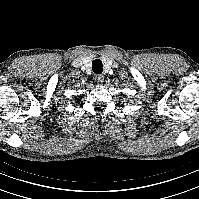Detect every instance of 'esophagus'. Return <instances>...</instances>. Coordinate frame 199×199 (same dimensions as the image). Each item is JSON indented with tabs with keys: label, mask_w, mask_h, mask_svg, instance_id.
<instances>
[{
	"label": "esophagus",
	"mask_w": 199,
	"mask_h": 199,
	"mask_svg": "<svg viewBox=\"0 0 199 199\" xmlns=\"http://www.w3.org/2000/svg\"><path fill=\"white\" fill-rule=\"evenodd\" d=\"M95 81H96L98 84H102V83L104 82V76H103V75H96Z\"/></svg>",
	"instance_id": "34e87169"
}]
</instances>
